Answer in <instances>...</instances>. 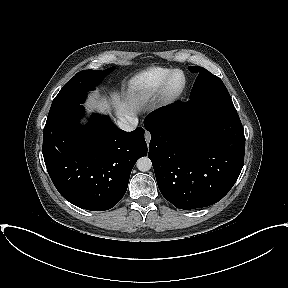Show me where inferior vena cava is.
<instances>
[{
    "label": "inferior vena cava",
    "instance_id": "1",
    "mask_svg": "<svg viewBox=\"0 0 288 288\" xmlns=\"http://www.w3.org/2000/svg\"><path fill=\"white\" fill-rule=\"evenodd\" d=\"M138 124V120L136 118L130 119H121L117 121V126L124 131H132Z\"/></svg>",
    "mask_w": 288,
    "mask_h": 288
}]
</instances>
